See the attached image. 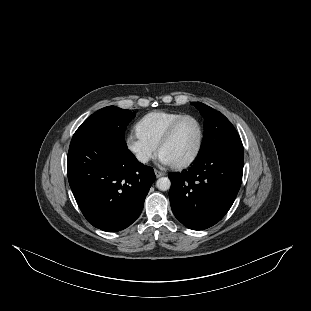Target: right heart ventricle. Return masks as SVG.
<instances>
[{
    "instance_id": "1",
    "label": "right heart ventricle",
    "mask_w": 311,
    "mask_h": 311,
    "mask_svg": "<svg viewBox=\"0 0 311 311\" xmlns=\"http://www.w3.org/2000/svg\"><path fill=\"white\" fill-rule=\"evenodd\" d=\"M184 115V113L179 112H150L136 122L135 130L144 142L157 148L170 127Z\"/></svg>"
}]
</instances>
